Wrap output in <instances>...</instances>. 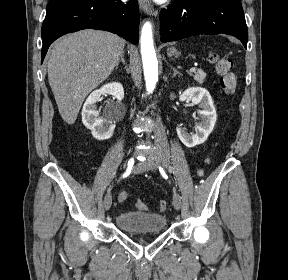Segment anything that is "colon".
Listing matches in <instances>:
<instances>
[{
  "mask_svg": "<svg viewBox=\"0 0 288 280\" xmlns=\"http://www.w3.org/2000/svg\"><path fill=\"white\" fill-rule=\"evenodd\" d=\"M208 60L211 64L214 65L217 73L221 75V86L223 90L225 91V93L232 94L236 89L237 79H236L235 73L231 71L232 69L231 62L228 59L223 58L214 52L209 54ZM198 175L202 176L203 170H200L198 172ZM127 198H128V194L126 192H123L119 194L118 196V200L120 202L126 201ZM136 206L137 208L141 210L148 209L147 205L141 200H137ZM166 206H167L166 202L164 200H161L158 203V210L162 212L166 209Z\"/></svg>",
  "mask_w": 288,
  "mask_h": 280,
  "instance_id": "1",
  "label": "colon"
}]
</instances>
